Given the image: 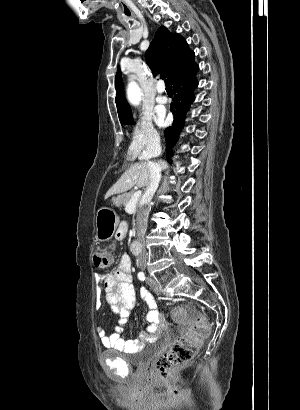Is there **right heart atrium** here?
Segmentation results:
<instances>
[{
    "label": "right heart atrium",
    "instance_id": "right-heart-atrium-1",
    "mask_svg": "<svg viewBox=\"0 0 300 410\" xmlns=\"http://www.w3.org/2000/svg\"><path fill=\"white\" fill-rule=\"evenodd\" d=\"M158 141V133L155 130L151 117L141 115L135 121L132 128L129 154L139 156L153 150Z\"/></svg>",
    "mask_w": 300,
    "mask_h": 410
}]
</instances>
